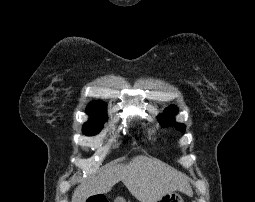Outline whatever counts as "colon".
I'll return each mask as SVG.
<instances>
[{
	"label": "colon",
	"instance_id": "colon-1",
	"mask_svg": "<svg viewBox=\"0 0 255 202\" xmlns=\"http://www.w3.org/2000/svg\"><path fill=\"white\" fill-rule=\"evenodd\" d=\"M87 202H107V201L98 197H91L88 199Z\"/></svg>",
	"mask_w": 255,
	"mask_h": 202
}]
</instances>
